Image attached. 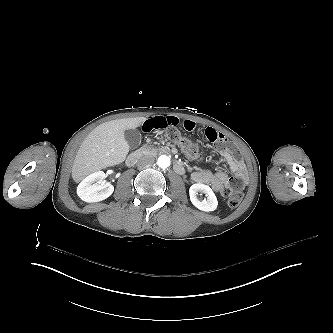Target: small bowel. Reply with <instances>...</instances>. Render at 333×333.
<instances>
[{"label": "small bowel", "instance_id": "obj_1", "mask_svg": "<svg viewBox=\"0 0 333 333\" xmlns=\"http://www.w3.org/2000/svg\"><path fill=\"white\" fill-rule=\"evenodd\" d=\"M180 123V120L176 117H151L148 118L144 124L143 129L145 131H150L155 128H166L169 126H176ZM184 128L188 131H192L196 128L195 121L191 119H185L182 122ZM206 139L208 142H218L216 145L212 146L213 152H220L222 157L229 164L232 172L235 175V178L242 182L245 185L248 182V176L246 173L245 165L241 160V155L236 154L232 150L231 143H225V136L223 133L216 131L215 129L208 127L204 131ZM224 141V142H223ZM223 142V143H221ZM212 164H218L219 158L212 157ZM191 178L197 183H209L211 184L214 191L220 193L223 187L229 184V177L225 171L218 170L216 172L210 171H196L192 173Z\"/></svg>", "mask_w": 333, "mask_h": 333}]
</instances>
